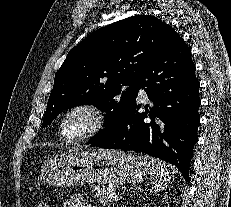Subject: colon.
Here are the masks:
<instances>
[{
    "label": "colon",
    "mask_w": 231,
    "mask_h": 207,
    "mask_svg": "<svg viewBox=\"0 0 231 207\" xmlns=\"http://www.w3.org/2000/svg\"><path fill=\"white\" fill-rule=\"evenodd\" d=\"M37 207H50V204L48 202H41Z\"/></svg>",
    "instance_id": "1"
}]
</instances>
